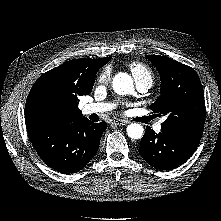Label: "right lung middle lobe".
Returning a JSON list of instances; mask_svg holds the SVG:
<instances>
[{"instance_id":"dd1d6c3e","label":"right lung middle lobe","mask_w":221,"mask_h":221,"mask_svg":"<svg viewBox=\"0 0 221 221\" xmlns=\"http://www.w3.org/2000/svg\"><path fill=\"white\" fill-rule=\"evenodd\" d=\"M51 99H52V96L50 95V94H47V95H45V96H43L42 97V102L43 103H47V102H49V101H51Z\"/></svg>"}]
</instances>
